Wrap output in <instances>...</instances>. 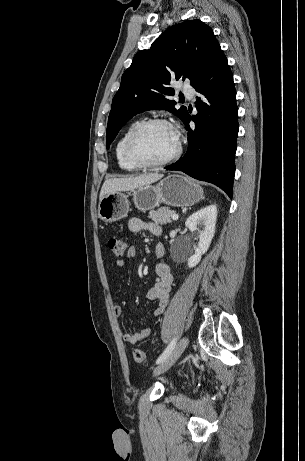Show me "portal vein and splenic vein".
I'll list each match as a JSON object with an SVG mask.
<instances>
[{
	"label": "portal vein and splenic vein",
	"mask_w": 305,
	"mask_h": 461,
	"mask_svg": "<svg viewBox=\"0 0 305 461\" xmlns=\"http://www.w3.org/2000/svg\"><path fill=\"white\" fill-rule=\"evenodd\" d=\"M171 218H172L173 220H178V219H179V216H178L177 214L174 213V214L171 215Z\"/></svg>",
	"instance_id": "18ae733b"
}]
</instances>
